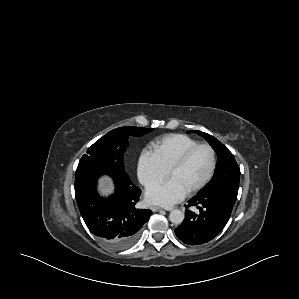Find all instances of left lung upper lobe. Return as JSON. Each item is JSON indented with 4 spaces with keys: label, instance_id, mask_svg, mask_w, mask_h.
<instances>
[{
    "label": "left lung upper lobe",
    "instance_id": "obj_1",
    "mask_svg": "<svg viewBox=\"0 0 299 299\" xmlns=\"http://www.w3.org/2000/svg\"><path fill=\"white\" fill-rule=\"evenodd\" d=\"M195 132L202 135L218 155L214 177L199 193L224 191L237 198L240 169L233 154L215 137L201 131Z\"/></svg>",
    "mask_w": 299,
    "mask_h": 299
}]
</instances>
